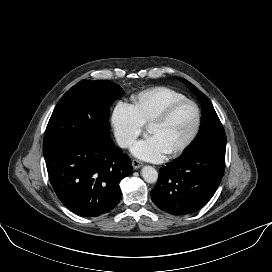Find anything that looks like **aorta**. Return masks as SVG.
<instances>
[{
  "label": "aorta",
  "mask_w": 272,
  "mask_h": 272,
  "mask_svg": "<svg viewBox=\"0 0 272 272\" xmlns=\"http://www.w3.org/2000/svg\"><path fill=\"white\" fill-rule=\"evenodd\" d=\"M141 174L147 183H155L158 179V172L152 166H144L141 170Z\"/></svg>",
  "instance_id": "1"
}]
</instances>
